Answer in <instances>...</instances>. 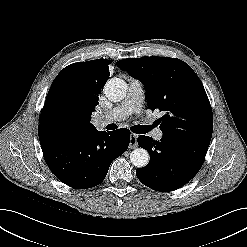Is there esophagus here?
<instances>
[{"label": "esophagus", "mask_w": 247, "mask_h": 247, "mask_svg": "<svg viewBox=\"0 0 247 247\" xmlns=\"http://www.w3.org/2000/svg\"><path fill=\"white\" fill-rule=\"evenodd\" d=\"M137 138H138V136L136 134H131V136H130V143H129V147L131 149H135L138 146V144H137Z\"/></svg>", "instance_id": "1"}]
</instances>
